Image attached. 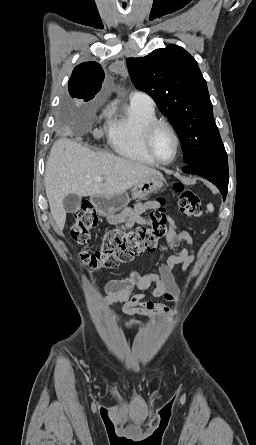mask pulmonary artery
<instances>
[{
    "label": "pulmonary artery",
    "mask_w": 256,
    "mask_h": 445,
    "mask_svg": "<svg viewBox=\"0 0 256 445\" xmlns=\"http://www.w3.org/2000/svg\"><path fill=\"white\" fill-rule=\"evenodd\" d=\"M130 103L154 107V101L151 96L141 91H135L130 95Z\"/></svg>",
    "instance_id": "e3ab8cb5"
}]
</instances>
